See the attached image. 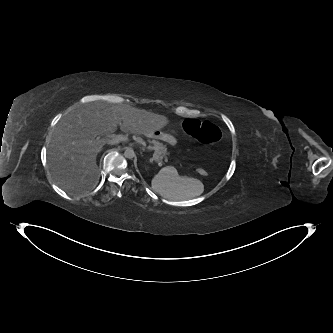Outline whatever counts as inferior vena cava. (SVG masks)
Wrapping results in <instances>:
<instances>
[{
    "label": "inferior vena cava",
    "instance_id": "1",
    "mask_svg": "<svg viewBox=\"0 0 333 333\" xmlns=\"http://www.w3.org/2000/svg\"><path fill=\"white\" fill-rule=\"evenodd\" d=\"M108 144H111V145H115V144H118V142H114V141H109Z\"/></svg>",
    "mask_w": 333,
    "mask_h": 333
}]
</instances>
